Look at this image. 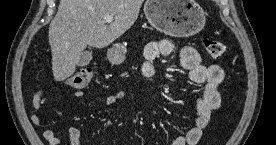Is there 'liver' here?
<instances>
[{"mask_svg":"<svg viewBox=\"0 0 276 145\" xmlns=\"http://www.w3.org/2000/svg\"><path fill=\"white\" fill-rule=\"evenodd\" d=\"M144 0H60L49 26L52 71L55 81L74 74L86 47H107L137 20ZM114 16L107 26L105 17Z\"/></svg>","mask_w":276,"mask_h":145,"instance_id":"1","label":"liver"}]
</instances>
